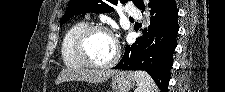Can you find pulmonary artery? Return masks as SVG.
Segmentation results:
<instances>
[{
	"label": "pulmonary artery",
	"instance_id": "obj_1",
	"mask_svg": "<svg viewBox=\"0 0 225 92\" xmlns=\"http://www.w3.org/2000/svg\"><path fill=\"white\" fill-rule=\"evenodd\" d=\"M128 15L132 18H140L141 14L139 11H136V10H130L128 12Z\"/></svg>",
	"mask_w": 225,
	"mask_h": 92
}]
</instances>
